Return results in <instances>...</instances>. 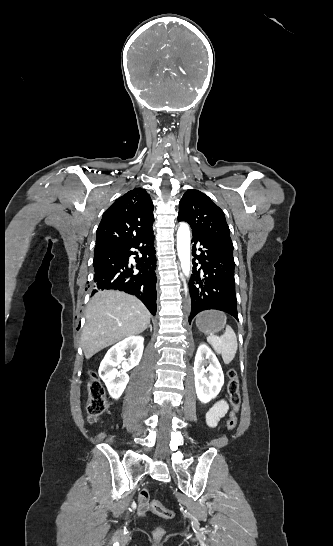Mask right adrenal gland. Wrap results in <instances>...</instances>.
I'll list each match as a JSON object with an SVG mask.
<instances>
[{
  "mask_svg": "<svg viewBox=\"0 0 333 546\" xmlns=\"http://www.w3.org/2000/svg\"><path fill=\"white\" fill-rule=\"evenodd\" d=\"M149 328H150V332L152 333V325H149Z\"/></svg>",
  "mask_w": 333,
  "mask_h": 546,
  "instance_id": "1",
  "label": "right adrenal gland"
}]
</instances>
